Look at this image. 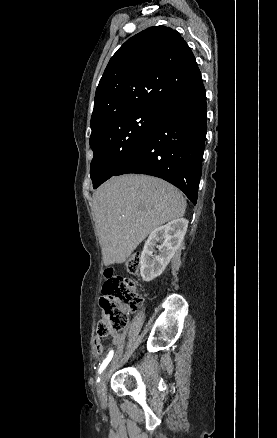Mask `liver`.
Instances as JSON below:
<instances>
[{
    "mask_svg": "<svg viewBox=\"0 0 277 438\" xmlns=\"http://www.w3.org/2000/svg\"><path fill=\"white\" fill-rule=\"evenodd\" d=\"M103 264H123L137 246L162 224L182 218L186 200L177 188L153 176L125 174L110 178L93 192Z\"/></svg>",
    "mask_w": 277,
    "mask_h": 438,
    "instance_id": "obj_1",
    "label": "liver"
}]
</instances>
